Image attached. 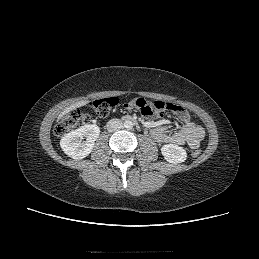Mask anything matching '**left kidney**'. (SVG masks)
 Returning a JSON list of instances; mask_svg holds the SVG:
<instances>
[{"label":"left kidney","instance_id":"obj_1","mask_svg":"<svg viewBox=\"0 0 259 259\" xmlns=\"http://www.w3.org/2000/svg\"><path fill=\"white\" fill-rule=\"evenodd\" d=\"M162 155L164 156L165 160L169 163H182L187 159V153L178 145L174 144H166L163 145L161 148Z\"/></svg>","mask_w":259,"mask_h":259}]
</instances>
